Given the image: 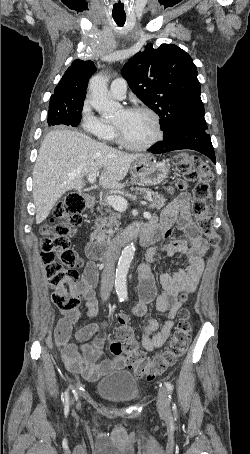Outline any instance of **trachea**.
<instances>
[{
    "instance_id": "1",
    "label": "trachea",
    "mask_w": 250,
    "mask_h": 454,
    "mask_svg": "<svg viewBox=\"0 0 250 454\" xmlns=\"http://www.w3.org/2000/svg\"><path fill=\"white\" fill-rule=\"evenodd\" d=\"M113 18L118 26H123L126 21V16H114L113 15Z\"/></svg>"
}]
</instances>
